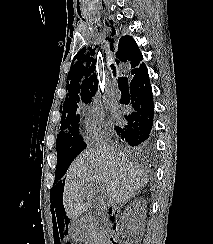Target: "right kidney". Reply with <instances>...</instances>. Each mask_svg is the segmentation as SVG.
<instances>
[{
	"label": "right kidney",
	"mask_w": 213,
	"mask_h": 244,
	"mask_svg": "<svg viewBox=\"0 0 213 244\" xmlns=\"http://www.w3.org/2000/svg\"><path fill=\"white\" fill-rule=\"evenodd\" d=\"M146 204L147 202L144 198L135 200L126 210L122 218V223L128 228L135 227L138 223L140 224V219H136L139 214L138 211L144 209ZM132 209H134V213H132Z\"/></svg>",
	"instance_id": "1"
}]
</instances>
